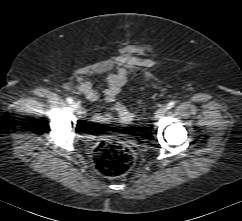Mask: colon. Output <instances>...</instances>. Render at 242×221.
Listing matches in <instances>:
<instances>
[{
  "instance_id": "1",
  "label": "colon",
  "mask_w": 242,
  "mask_h": 221,
  "mask_svg": "<svg viewBox=\"0 0 242 221\" xmlns=\"http://www.w3.org/2000/svg\"><path fill=\"white\" fill-rule=\"evenodd\" d=\"M94 164L97 171L108 178L127 174L135 163L131 148L121 142H102L94 150Z\"/></svg>"
}]
</instances>
